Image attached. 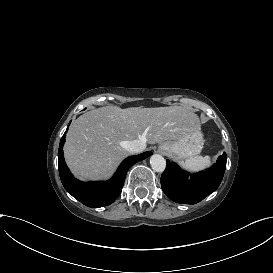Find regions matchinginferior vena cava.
I'll list each match as a JSON object with an SVG mask.
<instances>
[{
  "label": "inferior vena cava",
  "instance_id": "obj_1",
  "mask_svg": "<svg viewBox=\"0 0 273 273\" xmlns=\"http://www.w3.org/2000/svg\"><path fill=\"white\" fill-rule=\"evenodd\" d=\"M125 148L129 152L140 153L146 148V142L141 140L128 141Z\"/></svg>",
  "mask_w": 273,
  "mask_h": 273
}]
</instances>
